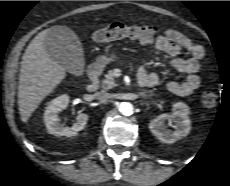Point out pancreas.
Listing matches in <instances>:
<instances>
[{
    "mask_svg": "<svg viewBox=\"0 0 230 186\" xmlns=\"http://www.w3.org/2000/svg\"><path fill=\"white\" fill-rule=\"evenodd\" d=\"M113 70H109L108 74L105 75V79L102 80L101 82V87L104 91H107L115 86H117L115 79H114V75H113Z\"/></svg>",
    "mask_w": 230,
    "mask_h": 186,
    "instance_id": "1",
    "label": "pancreas"
}]
</instances>
